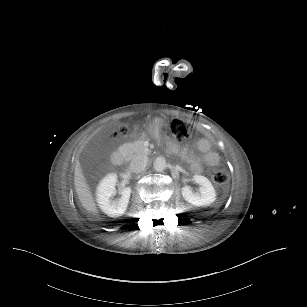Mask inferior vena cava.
Returning a JSON list of instances; mask_svg holds the SVG:
<instances>
[{"label":"inferior vena cava","mask_w":307,"mask_h":307,"mask_svg":"<svg viewBox=\"0 0 307 307\" xmlns=\"http://www.w3.org/2000/svg\"><path fill=\"white\" fill-rule=\"evenodd\" d=\"M147 165L146 157L137 155L130 163V170L134 173H141Z\"/></svg>","instance_id":"602c4592"}]
</instances>
